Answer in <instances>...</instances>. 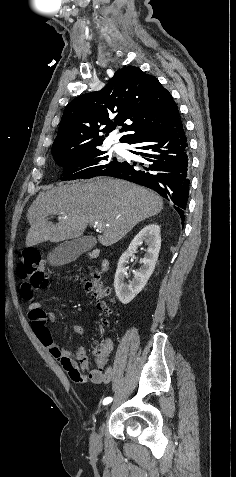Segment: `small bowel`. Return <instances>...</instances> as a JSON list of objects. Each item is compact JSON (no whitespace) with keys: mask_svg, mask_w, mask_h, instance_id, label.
<instances>
[{"mask_svg":"<svg viewBox=\"0 0 236 477\" xmlns=\"http://www.w3.org/2000/svg\"><path fill=\"white\" fill-rule=\"evenodd\" d=\"M28 316L31 328L37 339L49 351V353L60 361L63 369L69 377L76 383H84L90 380L93 383H108L113 374L111 366L102 372L94 369L89 370V359L84 346L78 344L77 339L86 333L87 328L82 325H75L72 328V339L74 348L72 351L62 348L53 338L49 324L56 321L54 312L45 311L40 302H33L28 307ZM113 351V342L108 339L102 346V353L109 358Z\"/></svg>","mask_w":236,"mask_h":477,"instance_id":"1","label":"small bowel"}]
</instances>
